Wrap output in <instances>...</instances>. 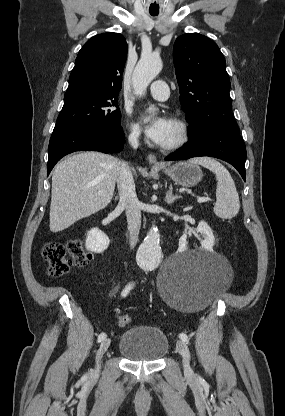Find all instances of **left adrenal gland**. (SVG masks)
<instances>
[{"label": "left adrenal gland", "mask_w": 285, "mask_h": 416, "mask_svg": "<svg viewBox=\"0 0 285 416\" xmlns=\"http://www.w3.org/2000/svg\"><path fill=\"white\" fill-rule=\"evenodd\" d=\"M178 198H182V196H174L172 184H170L169 192H167L166 194L165 202H167V204H173V202H175V200H178Z\"/></svg>", "instance_id": "left-adrenal-gland-1"}]
</instances>
